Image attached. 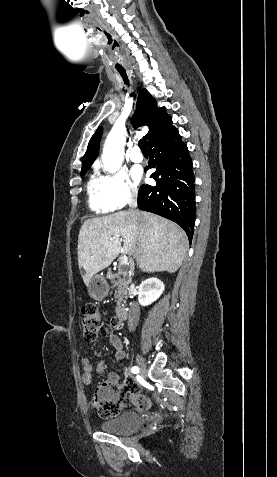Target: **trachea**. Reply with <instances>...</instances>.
Instances as JSON below:
<instances>
[{
  "label": "trachea",
  "mask_w": 277,
  "mask_h": 477,
  "mask_svg": "<svg viewBox=\"0 0 277 477\" xmlns=\"http://www.w3.org/2000/svg\"><path fill=\"white\" fill-rule=\"evenodd\" d=\"M120 75L122 76L123 80H124V83L126 85L129 84V80H128V77H127V74H126V71H119ZM139 147L141 149V151L143 153H147V144H146V139H140L139 140Z\"/></svg>",
  "instance_id": "obj_1"
}]
</instances>
